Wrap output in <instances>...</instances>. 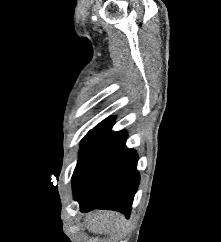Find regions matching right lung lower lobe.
<instances>
[{
	"instance_id": "1",
	"label": "right lung lower lobe",
	"mask_w": 221,
	"mask_h": 242,
	"mask_svg": "<svg viewBox=\"0 0 221 242\" xmlns=\"http://www.w3.org/2000/svg\"><path fill=\"white\" fill-rule=\"evenodd\" d=\"M110 123L82 144L72 176L73 197L81 212L116 210L130 215L139 185L137 153L125 145L126 132H112Z\"/></svg>"
}]
</instances>
